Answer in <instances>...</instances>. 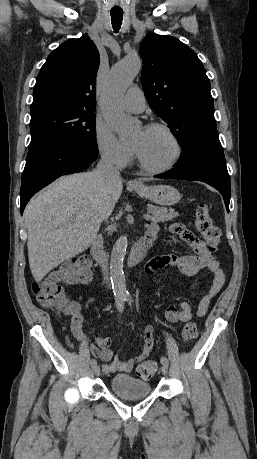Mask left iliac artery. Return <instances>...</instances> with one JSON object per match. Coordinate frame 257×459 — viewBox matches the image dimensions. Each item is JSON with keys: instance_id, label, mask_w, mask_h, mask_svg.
<instances>
[{"instance_id": "left-iliac-artery-1", "label": "left iliac artery", "mask_w": 257, "mask_h": 459, "mask_svg": "<svg viewBox=\"0 0 257 459\" xmlns=\"http://www.w3.org/2000/svg\"><path fill=\"white\" fill-rule=\"evenodd\" d=\"M124 299L129 303L132 302V297L129 294L124 295ZM160 361L162 364H166V365L169 364V361L166 356H162Z\"/></svg>"}]
</instances>
